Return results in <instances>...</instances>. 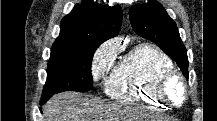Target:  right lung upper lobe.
Returning <instances> with one entry per match:
<instances>
[{
	"label": "right lung upper lobe",
	"instance_id": "1",
	"mask_svg": "<svg viewBox=\"0 0 217 121\" xmlns=\"http://www.w3.org/2000/svg\"><path fill=\"white\" fill-rule=\"evenodd\" d=\"M120 7H104L91 0L77 4L61 21L57 44L99 42L115 37L121 27Z\"/></svg>",
	"mask_w": 217,
	"mask_h": 121
}]
</instances>
